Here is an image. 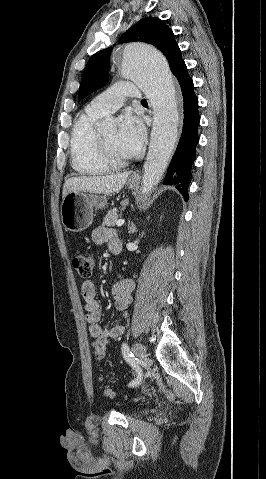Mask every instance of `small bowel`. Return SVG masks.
I'll return each mask as SVG.
<instances>
[{"label":"small bowel","instance_id":"c3829d8e","mask_svg":"<svg viewBox=\"0 0 266 479\" xmlns=\"http://www.w3.org/2000/svg\"><path fill=\"white\" fill-rule=\"evenodd\" d=\"M93 240L97 244L109 243L113 241L121 245L120 239L114 235L113 231L106 227H99L93 232ZM134 283L129 279H120L112 289V295L115 300L116 309L126 317L127 310L132 304V291ZM82 296L85 300L87 311L86 321L88 323L89 335L94 339H116L124 332V326L116 322L109 327H102L100 320L102 317L101 304L96 297V289L92 281L86 280L81 286Z\"/></svg>","mask_w":266,"mask_h":479}]
</instances>
